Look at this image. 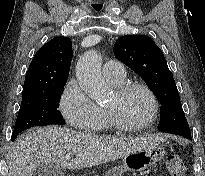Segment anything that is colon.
<instances>
[{
    "label": "colon",
    "instance_id": "obj_1",
    "mask_svg": "<svg viewBox=\"0 0 205 176\" xmlns=\"http://www.w3.org/2000/svg\"><path fill=\"white\" fill-rule=\"evenodd\" d=\"M167 169L171 176H186V166L178 153L167 157Z\"/></svg>",
    "mask_w": 205,
    "mask_h": 176
}]
</instances>
